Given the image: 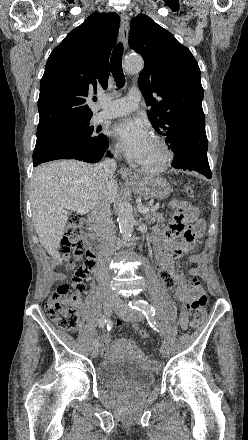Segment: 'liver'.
Instances as JSON below:
<instances>
[{
  "label": "liver",
  "mask_w": 248,
  "mask_h": 440,
  "mask_svg": "<svg viewBox=\"0 0 248 440\" xmlns=\"http://www.w3.org/2000/svg\"><path fill=\"white\" fill-rule=\"evenodd\" d=\"M117 182L94 174L93 165L74 160L54 161L34 170L30 200L32 219L40 244L61 262L58 247L68 221L61 200L76 201L92 211L102 202L113 203Z\"/></svg>",
  "instance_id": "obj_1"
}]
</instances>
